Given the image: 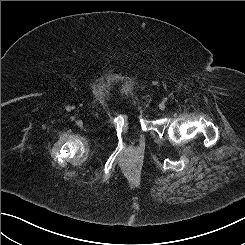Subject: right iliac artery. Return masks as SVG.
Listing matches in <instances>:
<instances>
[{
	"mask_svg": "<svg viewBox=\"0 0 245 245\" xmlns=\"http://www.w3.org/2000/svg\"><path fill=\"white\" fill-rule=\"evenodd\" d=\"M70 119H71V121H74L75 120V117L74 116H71Z\"/></svg>",
	"mask_w": 245,
	"mask_h": 245,
	"instance_id": "obj_1",
	"label": "right iliac artery"
}]
</instances>
